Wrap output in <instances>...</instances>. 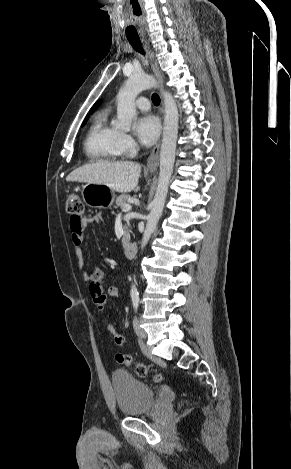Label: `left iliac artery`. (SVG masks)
Listing matches in <instances>:
<instances>
[{
	"label": "left iliac artery",
	"mask_w": 291,
	"mask_h": 469,
	"mask_svg": "<svg viewBox=\"0 0 291 469\" xmlns=\"http://www.w3.org/2000/svg\"><path fill=\"white\" fill-rule=\"evenodd\" d=\"M131 298H132L133 307H134L135 311H137V308L139 306V294L138 293H133L131 295Z\"/></svg>",
	"instance_id": "obj_1"
}]
</instances>
